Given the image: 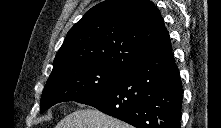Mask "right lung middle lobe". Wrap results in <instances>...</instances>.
I'll return each instance as SVG.
<instances>
[{"instance_id":"1","label":"right lung middle lobe","mask_w":221,"mask_h":128,"mask_svg":"<svg viewBox=\"0 0 221 128\" xmlns=\"http://www.w3.org/2000/svg\"><path fill=\"white\" fill-rule=\"evenodd\" d=\"M127 70L99 65L62 68L53 71L41 96L40 113L65 101H80L111 86Z\"/></svg>"}]
</instances>
